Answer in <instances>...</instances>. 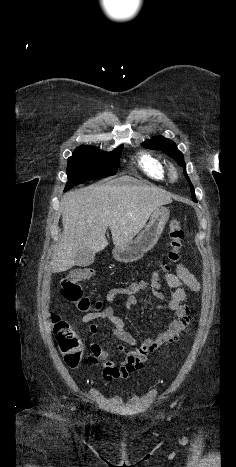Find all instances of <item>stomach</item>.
I'll use <instances>...</instances> for the list:
<instances>
[{"instance_id":"stomach-1","label":"stomach","mask_w":236,"mask_h":467,"mask_svg":"<svg viewBox=\"0 0 236 467\" xmlns=\"http://www.w3.org/2000/svg\"><path fill=\"white\" fill-rule=\"evenodd\" d=\"M169 213L168 208L163 206L155 209L149 223L135 239L114 247L112 250L113 257L123 263L133 262L142 258L159 240L169 219Z\"/></svg>"}]
</instances>
